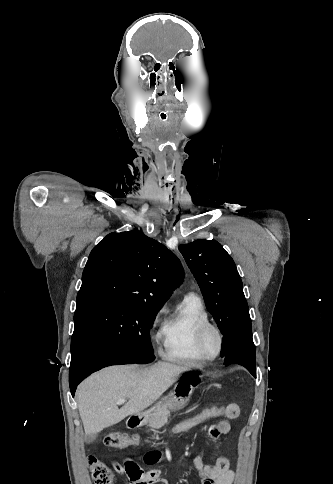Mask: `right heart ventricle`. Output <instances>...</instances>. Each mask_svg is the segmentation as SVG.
Here are the masks:
<instances>
[{"label":"right heart ventricle","instance_id":"1","mask_svg":"<svg viewBox=\"0 0 333 484\" xmlns=\"http://www.w3.org/2000/svg\"><path fill=\"white\" fill-rule=\"evenodd\" d=\"M206 322L209 315L202 300L192 294L185 296L160 329L163 357L190 366L203 365L206 360L197 350L196 332Z\"/></svg>","mask_w":333,"mask_h":484}]
</instances>
